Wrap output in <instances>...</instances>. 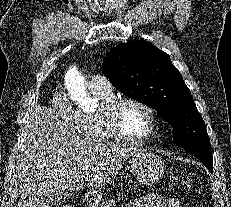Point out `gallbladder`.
<instances>
[{"mask_svg": "<svg viewBox=\"0 0 231 207\" xmlns=\"http://www.w3.org/2000/svg\"><path fill=\"white\" fill-rule=\"evenodd\" d=\"M70 196V194L62 190H59L56 192V194H54L53 198L49 200V203L51 205L58 207L59 205H62L65 201H67L70 198Z\"/></svg>", "mask_w": 231, "mask_h": 207, "instance_id": "1", "label": "gallbladder"}]
</instances>
